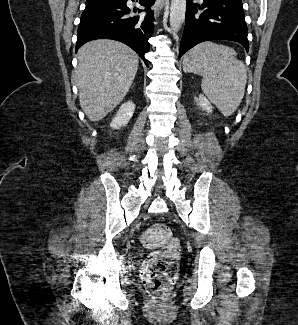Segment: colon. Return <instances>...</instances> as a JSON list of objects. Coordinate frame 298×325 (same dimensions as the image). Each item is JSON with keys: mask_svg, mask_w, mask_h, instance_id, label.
<instances>
[{"mask_svg": "<svg viewBox=\"0 0 298 325\" xmlns=\"http://www.w3.org/2000/svg\"><path fill=\"white\" fill-rule=\"evenodd\" d=\"M141 244L152 252L144 261L141 278L148 291L158 299H165L175 281L180 245L164 224L150 226L140 237Z\"/></svg>", "mask_w": 298, "mask_h": 325, "instance_id": "colon-1", "label": "colon"}]
</instances>
